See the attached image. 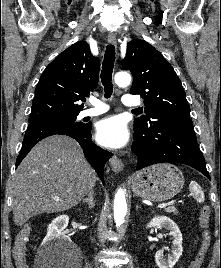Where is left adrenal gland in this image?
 Masks as SVG:
<instances>
[{
  "mask_svg": "<svg viewBox=\"0 0 221 268\" xmlns=\"http://www.w3.org/2000/svg\"><path fill=\"white\" fill-rule=\"evenodd\" d=\"M139 208H140V206L139 205H136V211H138Z\"/></svg>",
  "mask_w": 221,
  "mask_h": 268,
  "instance_id": "obj_1",
  "label": "left adrenal gland"
}]
</instances>
